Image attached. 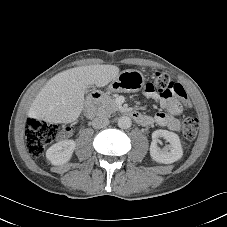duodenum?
I'll use <instances>...</instances> for the list:
<instances>
[{
	"mask_svg": "<svg viewBox=\"0 0 227 227\" xmlns=\"http://www.w3.org/2000/svg\"><path fill=\"white\" fill-rule=\"evenodd\" d=\"M101 96V92H94L87 98L85 103V114L88 118H92L94 116L96 103L101 98ZM121 113L125 116L132 118L139 124H143L146 119L145 115L135 110L124 109Z\"/></svg>",
	"mask_w": 227,
	"mask_h": 227,
	"instance_id": "obj_1",
	"label": "duodenum"
}]
</instances>
